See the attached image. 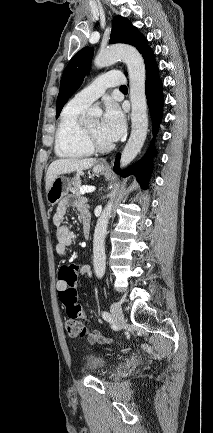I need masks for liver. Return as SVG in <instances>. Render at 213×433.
Listing matches in <instances>:
<instances>
[{
    "instance_id": "1",
    "label": "liver",
    "mask_w": 213,
    "mask_h": 433,
    "mask_svg": "<svg viewBox=\"0 0 213 433\" xmlns=\"http://www.w3.org/2000/svg\"><path fill=\"white\" fill-rule=\"evenodd\" d=\"M97 162L94 158L85 159H58L53 161L46 173V191L52 182L61 174L82 171L91 168Z\"/></svg>"
}]
</instances>
